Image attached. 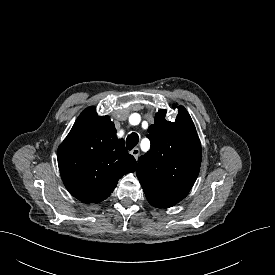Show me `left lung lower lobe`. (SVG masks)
<instances>
[{"instance_id": "0a47b994", "label": "left lung lower lobe", "mask_w": 275, "mask_h": 275, "mask_svg": "<svg viewBox=\"0 0 275 275\" xmlns=\"http://www.w3.org/2000/svg\"><path fill=\"white\" fill-rule=\"evenodd\" d=\"M147 200L149 201V203L154 206V207H158V208H168V207H172L174 206L177 202L175 201H170V200H157V199H153L150 197H147Z\"/></svg>"}]
</instances>
